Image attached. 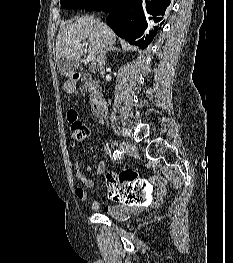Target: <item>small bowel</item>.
Segmentation results:
<instances>
[{
  "instance_id": "small-bowel-1",
  "label": "small bowel",
  "mask_w": 233,
  "mask_h": 263,
  "mask_svg": "<svg viewBox=\"0 0 233 263\" xmlns=\"http://www.w3.org/2000/svg\"><path fill=\"white\" fill-rule=\"evenodd\" d=\"M104 170V164L100 163L96 169H94L92 166H86L84 170L81 167L80 162L75 163V172L77 179L82 183L84 188L78 187L75 190L76 197L82 201L85 202L87 200L88 194L85 188L88 189H94L95 188V182L93 179L88 177L85 172L87 173H93V174H100ZM108 175V174H107ZM110 175H116V174H110ZM119 175V174H117ZM148 182H152L153 185H157L158 188L154 194H152L153 201L152 202H146V205H143L142 208H137L136 205H126V202H120L118 205H109L104 206V204L100 201H94L91 204V209L94 211H102L105 214L109 215L110 217L117 219V220H124L128 218L132 214H136L140 211H142L146 207H156L162 201L164 200V197L167 194V188H166V179L163 177H152L148 180Z\"/></svg>"
}]
</instances>
